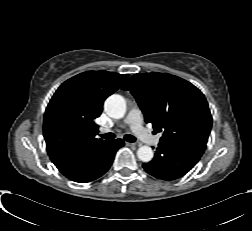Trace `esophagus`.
Here are the masks:
<instances>
[{"mask_svg": "<svg viewBox=\"0 0 252 231\" xmlns=\"http://www.w3.org/2000/svg\"><path fill=\"white\" fill-rule=\"evenodd\" d=\"M126 145H127V146H131V147H136V146H139L140 144H139V143H130V142H126Z\"/></svg>", "mask_w": 252, "mask_h": 231, "instance_id": "obj_1", "label": "esophagus"}]
</instances>
